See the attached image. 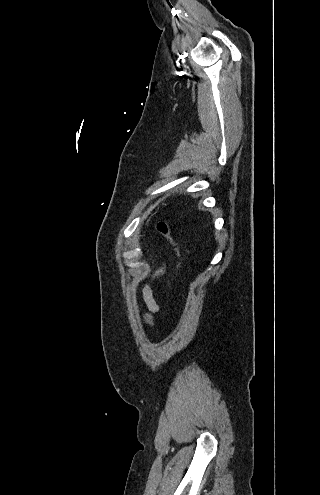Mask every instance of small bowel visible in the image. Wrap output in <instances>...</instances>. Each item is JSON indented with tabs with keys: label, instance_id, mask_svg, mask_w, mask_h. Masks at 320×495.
Listing matches in <instances>:
<instances>
[{
	"label": "small bowel",
	"instance_id": "c3829d8e",
	"mask_svg": "<svg viewBox=\"0 0 320 495\" xmlns=\"http://www.w3.org/2000/svg\"><path fill=\"white\" fill-rule=\"evenodd\" d=\"M164 273V268H160L154 277L161 276ZM143 300L150 313H156L159 310V305L157 304L151 286L146 284L142 290Z\"/></svg>",
	"mask_w": 320,
	"mask_h": 495
}]
</instances>
